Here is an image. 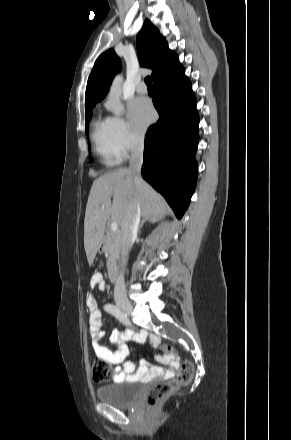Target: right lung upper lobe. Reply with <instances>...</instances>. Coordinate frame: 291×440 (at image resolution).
<instances>
[{"instance_id": "obj_1", "label": "right lung upper lobe", "mask_w": 291, "mask_h": 440, "mask_svg": "<svg viewBox=\"0 0 291 440\" xmlns=\"http://www.w3.org/2000/svg\"><path fill=\"white\" fill-rule=\"evenodd\" d=\"M136 43L141 66L153 70V82L182 66L178 62L177 54L168 48L166 39L148 19L138 33ZM119 68L120 59L113 49L98 57L87 83L86 112L105 97Z\"/></svg>"}]
</instances>
